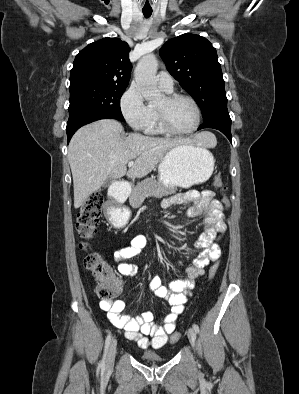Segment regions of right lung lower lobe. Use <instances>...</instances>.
<instances>
[{
	"label": "right lung lower lobe",
	"mask_w": 299,
	"mask_h": 394,
	"mask_svg": "<svg viewBox=\"0 0 299 394\" xmlns=\"http://www.w3.org/2000/svg\"><path fill=\"white\" fill-rule=\"evenodd\" d=\"M106 118L115 119L113 116H111L106 112L76 111L70 113L66 127L68 142L70 141L72 135L83 125H86L96 120L106 119Z\"/></svg>",
	"instance_id": "1"
}]
</instances>
